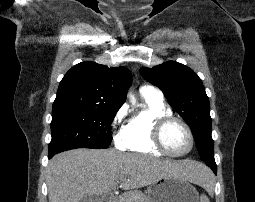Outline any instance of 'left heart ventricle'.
<instances>
[{
  "label": "left heart ventricle",
  "mask_w": 255,
  "mask_h": 202,
  "mask_svg": "<svg viewBox=\"0 0 255 202\" xmlns=\"http://www.w3.org/2000/svg\"><path fill=\"white\" fill-rule=\"evenodd\" d=\"M164 143L173 152L181 153L186 151L190 145L189 136L182 125L171 123L164 131Z\"/></svg>",
  "instance_id": "obj_1"
}]
</instances>
